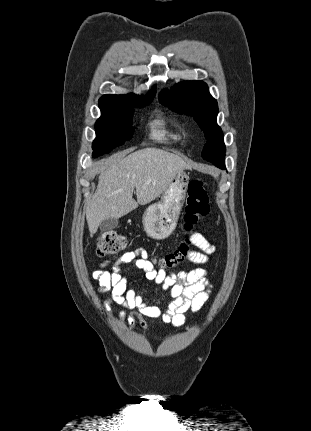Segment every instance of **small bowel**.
Here are the masks:
<instances>
[{
  "mask_svg": "<svg viewBox=\"0 0 311 431\" xmlns=\"http://www.w3.org/2000/svg\"><path fill=\"white\" fill-rule=\"evenodd\" d=\"M191 242L199 251L190 253V260L198 265L205 264L208 256L214 253L215 247L200 233L194 234ZM127 263H133L144 272L147 279L162 285V288L169 292L170 302L166 309L149 304L145 296L137 294L128 286V278L122 270V265ZM207 275L208 272L203 267L169 274L162 269L156 270L147 252L138 250L124 253L113 263L109 271L95 270L92 278L98 283L100 292L111 291V297L104 302V309L108 313H111V304L116 303L125 309L136 310L139 317H160L165 323L178 327L185 322L188 312H198L208 300L211 283ZM121 317L129 325L136 323L134 314L126 315L122 312ZM140 324L146 326L143 320H140Z\"/></svg>",
  "mask_w": 311,
  "mask_h": 431,
  "instance_id": "small-bowel-1",
  "label": "small bowel"
}]
</instances>
